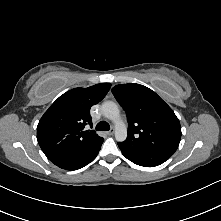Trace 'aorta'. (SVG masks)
Returning <instances> with one entry per match:
<instances>
[{
  "instance_id": "obj_1",
  "label": "aorta",
  "mask_w": 221,
  "mask_h": 221,
  "mask_svg": "<svg viewBox=\"0 0 221 221\" xmlns=\"http://www.w3.org/2000/svg\"><path fill=\"white\" fill-rule=\"evenodd\" d=\"M102 114L113 121L115 126V138L119 142H123L127 138V127L120 117L118 105L111 101H106L101 107Z\"/></svg>"
}]
</instances>
